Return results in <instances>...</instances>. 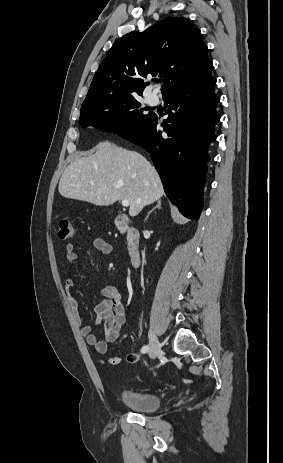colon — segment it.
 Masks as SVG:
<instances>
[{
	"instance_id": "obj_1",
	"label": "colon",
	"mask_w": 283,
	"mask_h": 463,
	"mask_svg": "<svg viewBox=\"0 0 283 463\" xmlns=\"http://www.w3.org/2000/svg\"><path fill=\"white\" fill-rule=\"evenodd\" d=\"M74 234L73 226L70 220L62 219L58 225V237L62 240L72 238ZM128 360L134 361L135 358L133 355L128 357Z\"/></svg>"
}]
</instances>
